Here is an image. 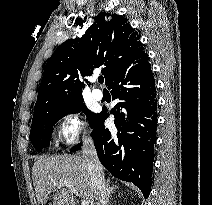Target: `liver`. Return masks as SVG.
I'll list each match as a JSON object with an SVG mask.
<instances>
[{
	"mask_svg": "<svg viewBox=\"0 0 212 205\" xmlns=\"http://www.w3.org/2000/svg\"><path fill=\"white\" fill-rule=\"evenodd\" d=\"M33 184L37 201L45 205L60 183L74 186L79 196L93 205L94 192L90 184V173L83 156L57 155L39 158L32 168ZM59 190V191H58ZM50 205H77L73 193L66 186L58 188Z\"/></svg>",
	"mask_w": 212,
	"mask_h": 205,
	"instance_id": "liver-1",
	"label": "liver"
}]
</instances>
